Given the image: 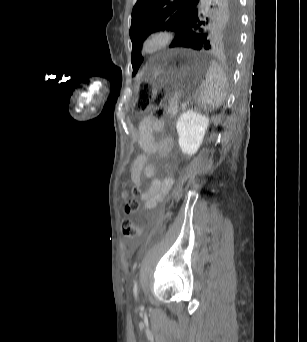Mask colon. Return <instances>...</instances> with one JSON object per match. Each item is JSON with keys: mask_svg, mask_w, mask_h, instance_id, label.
Returning <instances> with one entry per match:
<instances>
[{"mask_svg": "<svg viewBox=\"0 0 307 342\" xmlns=\"http://www.w3.org/2000/svg\"><path fill=\"white\" fill-rule=\"evenodd\" d=\"M139 94L141 99L136 105V109L139 111H151L157 117L164 115V109L162 107L163 96L165 92L163 87L152 92L151 82H138ZM149 94V95H147ZM140 188L138 186H132L129 189L130 199L124 202L123 209L127 215H134L139 209L138 195ZM123 234L126 238H133L142 232L140 227L133 219H124L122 221Z\"/></svg>", "mask_w": 307, "mask_h": 342, "instance_id": "1", "label": "colon"}]
</instances>
